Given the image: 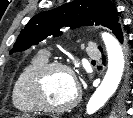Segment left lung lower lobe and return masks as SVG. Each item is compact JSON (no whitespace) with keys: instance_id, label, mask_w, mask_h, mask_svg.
Here are the masks:
<instances>
[{"instance_id":"1","label":"left lung lower lobe","mask_w":133,"mask_h":118,"mask_svg":"<svg viewBox=\"0 0 133 118\" xmlns=\"http://www.w3.org/2000/svg\"><path fill=\"white\" fill-rule=\"evenodd\" d=\"M112 32L116 36V38L120 41V43L125 45L126 54H127V57L129 58L128 41L122 32L121 26L120 25L116 26ZM132 61H133V57H132ZM124 87H127V86H124Z\"/></svg>"}]
</instances>
